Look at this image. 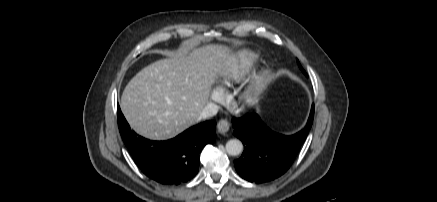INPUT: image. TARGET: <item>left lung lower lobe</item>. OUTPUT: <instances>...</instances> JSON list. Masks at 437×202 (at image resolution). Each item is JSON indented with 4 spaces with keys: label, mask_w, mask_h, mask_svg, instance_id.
I'll list each match as a JSON object with an SVG mask.
<instances>
[{
    "label": "left lung lower lobe",
    "mask_w": 437,
    "mask_h": 202,
    "mask_svg": "<svg viewBox=\"0 0 437 202\" xmlns=\"http://www.w3.org/2000/svg\"><path fill=\"white\" fill-rule=\"evenodd\" d=\"M313 118L314 104L305 128L291 136L273 132L256 113L233 119L234 135L244 145L242 156L234 161L238 174L255 183L280 177L293 163L309 133Z\"/></svg>",
    "instance_id": "1"
}]
</instances>
